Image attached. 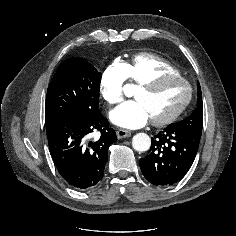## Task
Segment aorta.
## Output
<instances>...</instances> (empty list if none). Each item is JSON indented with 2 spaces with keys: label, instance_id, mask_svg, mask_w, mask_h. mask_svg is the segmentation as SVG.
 Listing matches in <instances>:
<instances>
[{
  "label": "aorta",
  "instance_id": "1",
  "mask_svg": "<svg viewBox=\"0 0 236 236\" xmlns=\"http://www.w3.org/2000/svg\"><path fill=\"white\" fill-rule=\"evenodd\" d=\"M132 146L138 152H145L151 146V139L146 133H137L133 136Z\"/></svg>",
  "mask_w": 236,
  "mask_h": 236
}]
</instances>
